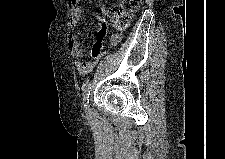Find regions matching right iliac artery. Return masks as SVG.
<instances>
[{
    "label": "right iliac artery",
    "mask_w": 225,
    "mask_h": 159,
    "mask_svg": "<svg viewBox=\"0 0 225 159\" xmlns=\"http://www.w3.org/2000/svg\"><path fill=\"white\" fill-rule=\"evenodd\" d=\"M90 90H91V84H88L83 93V100H84V107L86 112H89V95H90Z\"/></svg>",
    "instance_id": "82829eb1"
}]
</instances>
